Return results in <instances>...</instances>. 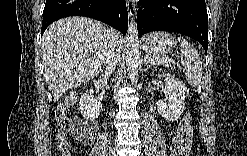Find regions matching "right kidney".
<instances>
[{
	"label": "right kidney",
	"instance_id": "1",
	"mask_svg": "<svg viewBox=\"0 0 247 156\" xmlns=\"http://www.w3.org/2000/svg\"><path fill=\"white\" fill-rule=\"evenodd\" d=\"M93 90H87L80 98L79 111L86 120L94 121L100 115L102 103L94 98Z\"/></svg>",
	"mask_w": 247,
	"mask_h": 156
}]
</instances>
